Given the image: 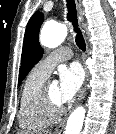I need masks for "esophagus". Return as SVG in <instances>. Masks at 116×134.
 Returning <instances> with one entry per match:
<instances>
[{
    "mask_svg": "<svg viewBox=\"0 0 116 134\" xmlns=\"http://www.w3.org/2000/svg\"><path fill=\"white\" fill-rule=\"evenodd\" d=\"M76 2V6H77V9H78V12L81 13V0H75ZM86 49H87V54L89 52V48H88V45L86 46ZM84 68H85V80H84V83H83V86L80 90V93H79V96L77 98V101H76V104L83 98L84 94H85V91H86V86H87V81H88V75H89V72H88V69H87V66L85 64V58H84ZM65 126V120H63L59 125L58 127L56 128V133H61L63 128Z\"/></svg>",
    "mask_w": 116,
    "mask_h": 134,
    "instance_id": "esophagus-1",
    "label": "esophagus"
}]
</instances>
